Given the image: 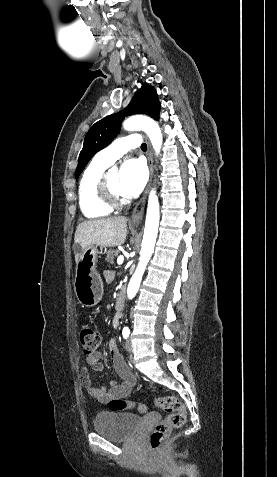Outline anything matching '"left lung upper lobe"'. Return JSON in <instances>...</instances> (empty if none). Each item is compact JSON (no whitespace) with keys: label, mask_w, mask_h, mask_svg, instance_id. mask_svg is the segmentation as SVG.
<instances>
[{"label":"left lung upper lobe","mask_w":277,"mask_h":477,"mask_svg":"<svg viewBox=\"0 0 277 477\" xmlns=\"http://www.w3.org/2000/svg\"><path fill=\"white\" fill-rule=\"evenodd\" d=\"M159 111L160 103L156 90L148 84H143L123 111L96 122L85 136L75 171L76 180L93 155L109 145L117 136L124 117L133 114H146L158 120Z\"/></svg>","instance_id":"left-lung-upper-lobe-1"}]
</instances>
